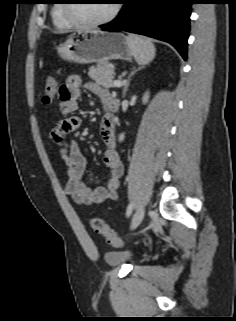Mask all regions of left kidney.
I'll return each mask as SVG.
<instances>
[{"label":"left kidney","instance_id":"obj_1","mask_svg":"<svg viewBox=\"0 0 236 321\" xmlns=\"http://www.w3.org/2000/svg\"><path fill=\"white\" fill-rule=\"evenodd\" d=\"M148 99H149V92H146L143 96V103L146 104L148 102ZM124 139V134H121L119 136V140L122 141Z\"/></svg>","mask_w":236,"mask_h":321}]
</instances>
